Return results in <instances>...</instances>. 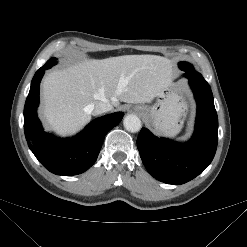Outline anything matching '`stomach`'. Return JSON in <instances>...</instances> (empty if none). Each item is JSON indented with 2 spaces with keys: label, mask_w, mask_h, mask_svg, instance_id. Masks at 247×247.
I'll use <instances>...</instances> for the list:
<instances>
[{
  "label": "stomach",
  "mask_w": 247,
  "mask_h": 247,
  "mask_svg": "<svg viewBox=\"0 0 247 247\" xmlns=\"http://www.w3.org/2000/svg\"><path fill=\"white\" fill-rule=\"evenodd\" d=\"M135 108L142 110L144 118L166 136H175L182 129L186 106L174 90L166 87L152 107L137 105Z\"/></svg>",
  "instance_id": "1"
}]
</instances>
